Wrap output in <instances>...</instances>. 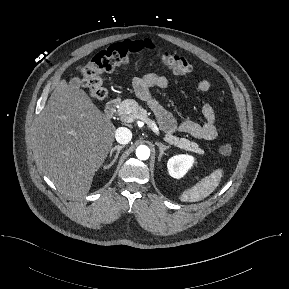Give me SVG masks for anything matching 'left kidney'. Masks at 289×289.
I'll list each match as a JSON object with an SVG mask.
<instances>
[{
	"mask_svg": "<svg viewBox=\"0 0 289 289\" xmlns=\"http://www.w3.org/2000/svg\"><path fill=\"white\" fill-rule=\"evenodd\" d=\"M194 158L190 155H176L171 157L167 162L169 174L173 178H182L192 167Z\"/></svg>",
	"mask_w": 289,
	"mask_h": 289,
	"instance_id": "5707ae66",
	"label": "left kidney"
}]
</instances>
